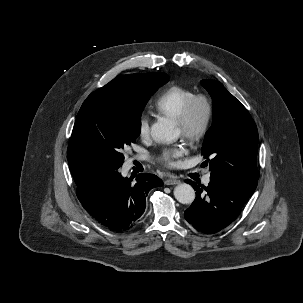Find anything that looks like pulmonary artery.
Masks as SVG:
<instances>
[{
    "label": "pulmonary artery",
    "mask_w": 303,
    "mask_h": 303,
    "mask_svg": "<svg viewBox=\"0 0 303 303\" xmlns=\"http://www.w3.org/2000/svg\"><path fill=\"white\" fill-rule=\"evenodd\" d=\"M203 183L205 185H208L210 183V176L209 175H205L202 179Z\"/></svg>",
    "instance_id": "obj_1"
}]
</instances>
